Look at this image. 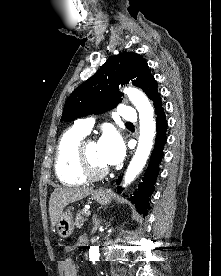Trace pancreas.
Segmentation results:
<instances>
[{
    "mask_svg": "<svg viewBox=\"0 0 221 276\" xmlns=\"http://www.w3.org/2000/svg\"><path fill=\"white\" fill-rule=\"evenodd\" d=\"M87 212L88 210L84 208L77 214L75 219L76 228H81L83 226L84 222L87 220Z\"/></svg>",
    "mask_w": 221,
    "mask_h": 276,
    "instance_id": "cf45deb5",
    "label": "pancreas"
}]
</instances>
